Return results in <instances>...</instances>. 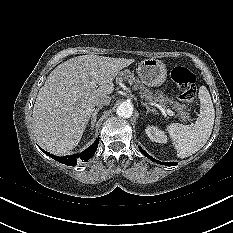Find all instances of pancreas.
<instances>
[{
	"mask_svg": "<svg viewBox=\"0 0 233 233\" xmlns=\"http://www.w3.org/2000/svg\"><path fill=\"white\" fill-rule=\"evenodd\" d=\"M120 79L129 81L130 84L133 85L134 89H139L140 94L142 97H146L149 100L155 99L156 101H159V103L162 106H166L167 104L172 105L173 109H175L178 112V115L182 121L190 120L189 113L184 111V107L177 101H174L173 99L165 97L162 94L157 95L156 97L153 96V93L147 89L141 81L134 76L133 73L130 72V70L125 69L119 73V76L117 80Z\"/></svg>",
	"mask_w": 233,
	"mask_h": 233,
	"instance_id": "obj_1",
	"label": "pancreas"
}]
</instances>
